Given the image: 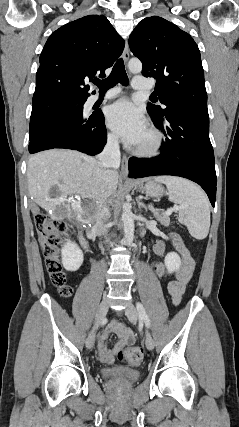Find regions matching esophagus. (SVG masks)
<instances>
[{
	"label": "esophagus",
	"instance_id": "esophagus-1",
	"mask_svg": "<svg viewBox=\"0 0 239 427\" xmlns=\"http://www.w3.org/2000/svg\"><path fill=\"white\" fill-rule=\"evenodd\" d=\"M129 59V45L126 41L125 47L123 50V60L127 62ZM121 175L126 178L128 175V157L126 155H123L122 161H121Z\"/></svg>",
	"mask_w": 239,
	"mask_h": 427
}]
</instances>
